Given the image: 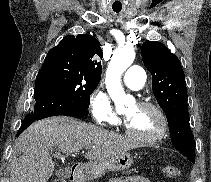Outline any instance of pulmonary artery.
I'll return each mask as SVG.
<instances>
[{
    "instance_id": "1",
    "label": "pulmonary artery",
    "mask_w": 211,
    "mask_h": 182,
    "mask_svg": "<svg viewBox=\"0 0 211 182\" xmlns=\"http://www.w3.org/2000/svg\"><path fill=\"white\" fill-rule=\"evenodd\" d=\"M124 82L132 90L141 89L145 82V71L139 66L129 67L124 74Z\"/></svg>"
}]
</instances>
